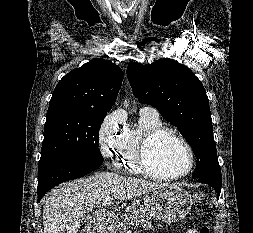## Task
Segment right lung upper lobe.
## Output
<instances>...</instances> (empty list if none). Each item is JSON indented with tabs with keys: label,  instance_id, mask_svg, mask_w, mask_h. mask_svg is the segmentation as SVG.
I'll return each instance as SVG.
<instances>
[{
	"label": "right lung upper lobe",
	"instance_id": "obj_1",
	"mask_svg": "<svg viewBox=\"0 0 253 233\" xmlns=\"http://www.w3.org/2000/svg\"><path fill=\"white\" fill-rule=\"evenodd\" d=\"M124 74L114 63L96 58L66 74L57 84L49 107L75 106L109 111Z\"/></svg>",
	"mask_w": 253,
	"mask_h": 233
}]
</instances>
